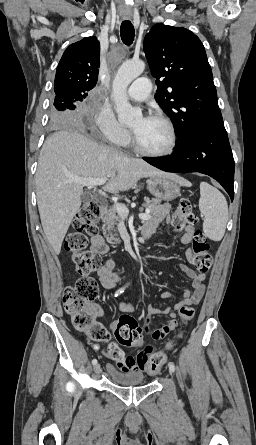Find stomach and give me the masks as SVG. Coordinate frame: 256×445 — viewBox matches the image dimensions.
Returning a JSON list of instances; mask_svg holds the SVG:
<instances>
[{
  "label": "stomach",
  "instance_id": "stomach-1",
  "mask_svg": "<svg viewBox=\"0 0 256 445\" xmlns=\"http://www.w3.org/2000/svg\"><path fill=\"white\" fill-rule=\"evenodd\" d=\"M147 188L159 200L172 201L181 195L179 185L170 176L150 177Z\"/></svg>",
  "mask_w": 256,
  "mask_h": 445
}]
</instances>
